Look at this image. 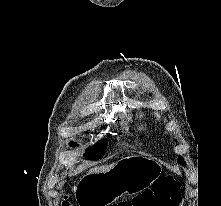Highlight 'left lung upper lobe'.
Here are the masks:
<instances>
[{
  "label": "left lung upper lobe",
  "instance_id": "5c2ea615",
  "mask_svg": "<svg viewBox=\"0 0 221 206\" xmlns=\"http://www.w3.org/2000/svg\"><path fill=\"white\" fill-rule=\"evenodd\" d=\"M178 163H180L181 165H185L186 164L184 162V159L181 156L178 157Z\"/></svg>",
  "mask_w": 221,
  "mask_h": 206
}]
</instances>
